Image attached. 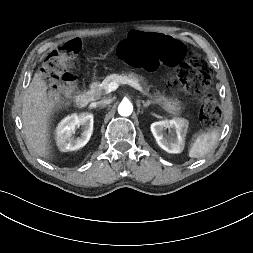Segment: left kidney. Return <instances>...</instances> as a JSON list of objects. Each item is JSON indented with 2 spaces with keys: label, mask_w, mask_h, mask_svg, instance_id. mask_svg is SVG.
Returning a JSON list of instances; mask_svg holds the SVG:
<instances>
[{
  "label": "left kidney",
  "mask_w": 253,
  "mask_h": 253,
  "mask_svg": "<svg viewBox=\"0 0 253 253\" xmlns=\"http://www.w3.org/2000/svg\"><path fill=\"white\" fill-rule=\"evenodd\" d=\"M188 128V122L184 119L175 118L154 122L151 124V132L155 137L157 144L166 152L177 154L184 148V137ZM169 134H165V130Z\"/></svg>",
  "instance_id": "1"
}]
</instances>
